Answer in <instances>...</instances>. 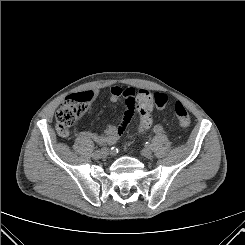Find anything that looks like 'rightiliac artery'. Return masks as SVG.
I'll return each mask as SVG.
<instances>
[{
	"label": "right iliac artery",
	"instance_id": "obj_1",
	"mask_svg": "<svg viewBox=\"0 0 245 245\" xmlns=\"http://www.w3.org/2000/svg\"><path fill=\"white\" fill-rule=\"evenodd\" d=\"M100 154H103V156H108V148H101Z\"/></svg>",
	"mask_w": 245,
	"mask_h": 245
}]
</instances>
